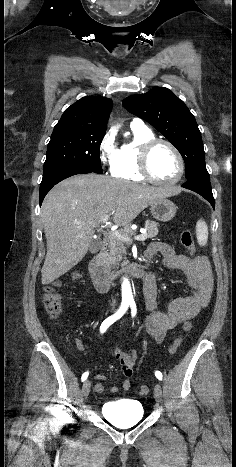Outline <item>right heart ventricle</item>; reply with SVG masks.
Wrapping results in <instances>:
<instances>
[{"instance_id":"obj_1","label":"right heart ventricle","mask_w":236,"mask_h":467,"mask_svg":"<svg viewBox=\"0 0 236 467\" xmlns=\"http://www.w3.org/2000/svg\"><path fill=\"white\" fill-rule=\"evenodd\" d=\"M133 139L124 143L118 149V156L114 167L111 169L112 175L117 178L129 181H144L145 178L138 170V151L140 145L154 138V134L148 127L131 126Z\"/></svg>"}]
</instances>
